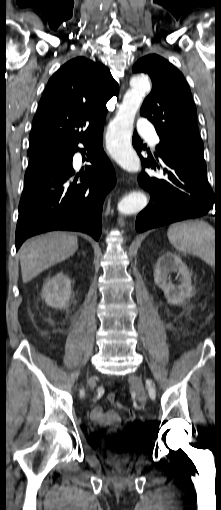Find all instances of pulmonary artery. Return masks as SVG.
<instances>
[{
    "label": "pulmonary artery",
    "instance_id": "obj_1",
    "mask_svg": "<svg viewBox=\"0 0 221 510\" xmlns=\"http://www.w3.org/2000/svg\"><path fill=\"white\" fill-rule=\"evenodd\" d=\"M137 128L143 138L152 146L156 147L159 143V137L154 130L152 123L146 119H140Z\"/></svg>",
    "mask_w": 221,
    "mask_h": 510
}]
</instances>
